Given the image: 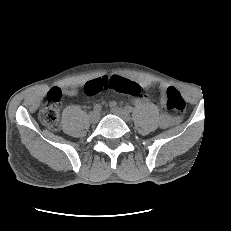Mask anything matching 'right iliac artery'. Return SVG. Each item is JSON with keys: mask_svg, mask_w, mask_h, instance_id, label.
<instances>
[{"mask_svg": "<svg viewBox=\"0 0 231 231\" xmlns=\"http://www.w3.org/2000/svg\"><path fill=\"white\" fill-rule=\"evenodd\" d=\"M101 108H102V107H101L100 104H96V105H94L93 110H94L95 112H100Z\"/></svg>", "mask_w": 231, "mask_h": 231, "instance_id": "obj_1", "label": "right iliac artery"}]
</instances>
